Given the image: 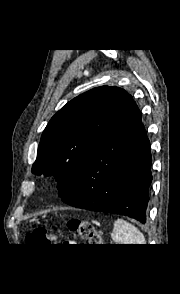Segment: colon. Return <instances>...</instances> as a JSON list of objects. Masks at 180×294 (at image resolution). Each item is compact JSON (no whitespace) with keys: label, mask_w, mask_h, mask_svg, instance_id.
I'll return each mask as SVG.
<instances>
[{"label":"colon","mask_w":180,"mask_h":294,"mask_svg":"<svg viewBox=\"0 0 180 294\" xmlns=\"http://www.w3.org/2000/svg\"><path fill=\"white\" fill-rule=\"evenodd\" d=\"M68 227L77 233L82 239L88 241L92 246L102 245L101 233L88 221L78 219H70ZM56 239V235L51 229L37 228L26 236V241L30 244H52Z\"/></svg>","instance_id":"1"}]
</instances>
